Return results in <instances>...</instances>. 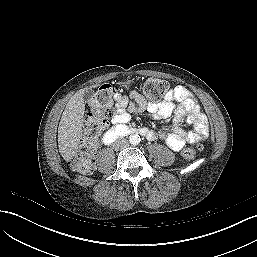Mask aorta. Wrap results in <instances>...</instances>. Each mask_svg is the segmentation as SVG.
I'll list each match as a JSON object with an SVG mask.
<instances>
[{"label": "aorta", "mask_w": 257, "mask_h": 257, "mask_svg": "<svg viewBox=\"0 0 257 257\" xmlns=\"http://www.w3.org/2000/svg\"><path fill=\"white\" fill-rule=\"evenodd\" d=\"M129 141L132 145H138L141 141V138L138 134H132L129 136Z\"/></svg>", "instance_id": "1"}]
</instances>
